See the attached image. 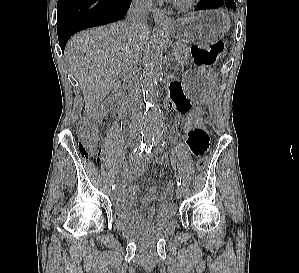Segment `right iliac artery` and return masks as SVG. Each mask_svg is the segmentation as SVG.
I'll return each mask as SVG.
<instances>
[{"mask_svg":"<svg viewBox=\"0 0 299 273\" xmlns=\"http://www.w3.org/2000/svg\"><path fill=\"white\" fill-rule=\"evenodd\" d=\"M147 143L146 142H141L140 145L134 149V151L132 153H130L131 157H137L140 156L144 149L146 148ZM115 188V185L112 186V189Z\"/></svg>","mask_w":299,"mask_h":273,"instance_id":"right-iliac-artery-1","label":"right iliac artery"}]
</instances>
